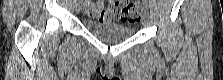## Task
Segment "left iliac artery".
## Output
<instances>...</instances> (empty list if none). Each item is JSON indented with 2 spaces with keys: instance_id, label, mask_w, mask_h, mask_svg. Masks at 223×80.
Segmentation results:
<instances>
[{
  "instance_id": "44dca946",
  "label": "left iliac artery",
  "mask_w": 223,
  "mask_h": 80,
  "mask_svg": "<svg viewBox=\"0 0 223 80\" xmlns=\"http://www.w3.org/2000/svg\"><path fill=\"white\" fill-rule=\"evenodd\" d=\"M145 8L148 10V5H147V3L145 2Z\"/></svg>"
}]
</instances>
